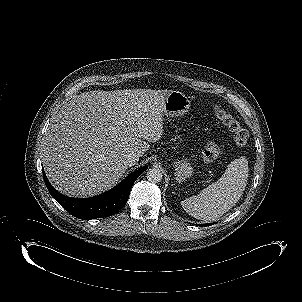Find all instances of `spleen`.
Masks as SVG:
<instances>
[{
    "instance_id": "spleen-1",
    "label": "spleen",
    "mask_w": 302,
    "mask_h": 302,
    "mask_svg": "<svg viewBox=\"0 0 302 302\" xmlns=\"http://www.w3.org/2000/svg\"><path fill=\"white\" fill-rule=\"evenodd\" d=\"M247 178V160L235 159L220 179L204 188L198 195L183 200L181 206L194 218L214 221L238 202L247 185Z\"/></svg>"
}]
</instances>
